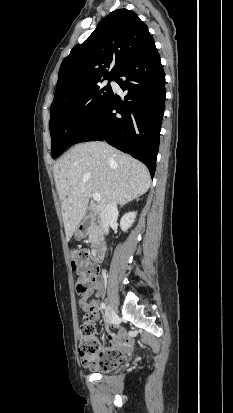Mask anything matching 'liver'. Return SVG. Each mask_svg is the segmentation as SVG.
I'll return each instance as SVG.
<instances>
[{"label":"liver","instance_id":"obj_1","mask_svg":"<svg viewBox=\"0 0 233 413\" xmlns=\"http://www.w3.org/2000/svg\"><path fill=\"white\" fill-rule=\"evenodd\" d=\"M53 171L67 241L88 209L101 213L111 201L124 205L146 193L151 184L143 163L106 142L75 145ZM93 193L101 196L97 204L90 202Z\"/></svg>","mask_w":233,"mask_h":413}]
</instances>
